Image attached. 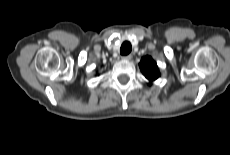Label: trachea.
Here are the masks:
<instances>
[{
	"instance_id": "1",
	"label": "trachea",
	"mask_w": 230,
	"mask_h": 155,
	"mask_svg": "<svg viewBox=\"0 0 230 155\" xmlns=\"http://www.w3.org/2000/svg\"><path fill=\"white\" fill-rule=\"evenodd\" d=\"M132 50L131 43L128 41L123 42L120 48L121 55H128Z\"/></svg>"
}]
</instances>
